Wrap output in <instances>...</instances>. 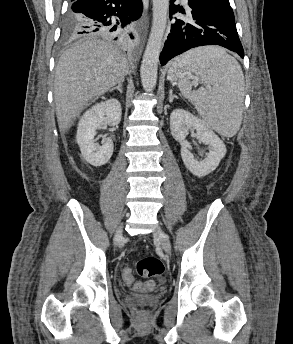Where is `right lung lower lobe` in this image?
Wrapping results in <instances>:
<instances>
[{"label": "right lung lower lobe", "instance_id": "obj_1", "mask_svg": "<svg viewBox=\"0 0 293 344\" xmlns=\"http://www.w3.org/2000/svg\"><path fill=\"white\" fill-rule=\"evenodd\" d=\"M142 9L141 0H74L70 11L86 19L81 34L97 32L110 39L128 42L133 38L128 26L140 18Z\"/></svg>", "mask_w": 293, "mask_h": 344}]
</instances>
